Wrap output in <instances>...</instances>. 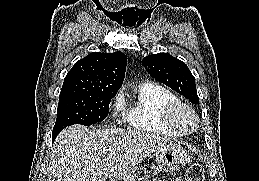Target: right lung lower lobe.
I'll return each mask as SVG.
<instances>
[{
  "label": "right lung lower lobe",
  "instance_id": "obj_1",
  "mask_svg": "<svg viewBox=\"0 0 259 181\" xmlns=\"http://www.w3.org/2000/svg\"><path fill=\"white\" fill-rule=\"evenodd\" d=\"M56 136H57V135H56ZM56 136L52 137V138H53V141H54V139L56 138Z\"/></svg>",
  "mask_w": 259,
  "mask_h": 181
}]
</instances>
